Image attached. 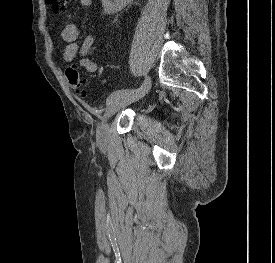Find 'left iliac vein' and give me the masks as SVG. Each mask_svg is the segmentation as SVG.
<instances>
[{
  "label": "left iliac vein",
  "mask_w": 275,
  "mask_h": 263,
  "mask_svg": "<svg viewBox=\"0 0 275 263\" xmlns=\"http://www.w3.org/2000/svg\"><path fill=\"white\" fill-rule=\"evenodd\" d=\"M149 89L150 85L142 92L121 96L110 103L105 114L104 122L97 129L96 138L99 144H105L108 140L109 124L107 120L115 115L120 109L144 97Z\"/></svg>",
  "instance_id": "obj_1"
}]
</instances>
